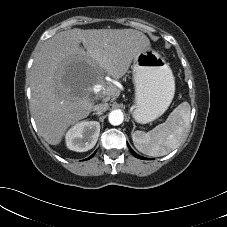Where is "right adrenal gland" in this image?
I'll return each instance as SVG.
<instances>
[{"instance_id": "right-adrenal-gland-1", "label": "right adrenal gland", "mask_w": 227, "mask_h": 227, "mask_svg": "<svg viewBox=\"0 0 227 227\" xmlns=\"http://www.w3.org/2000/svg\"><path fill=\"white\" fill-rule=\"evenodd\" d=\"M102 113L101 112H94L93 115H98L100 116Z\"/></svg>"}]
</instances>
